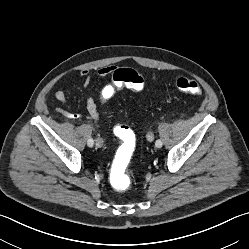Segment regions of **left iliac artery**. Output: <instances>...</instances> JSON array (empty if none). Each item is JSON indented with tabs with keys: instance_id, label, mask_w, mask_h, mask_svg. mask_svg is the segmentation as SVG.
Segmentation results:
<instances>
[{
	"instance_id": "obj_1",
	"label": "left iliac artery",
	"mask_w": 249,
	"mask_h": 249,
	"mask_svg": "<svg viewBox=\"0 0 249 249\" xmlns=\"http://www.w3.org/2000/svg\"><path fill=\"white\" fill-rule=\"evenodd\" d=\"M155 146L158 147V148H160V147L162 146L161 140H157V141L155 142Z\"/></svg>"
}]
</instances>
